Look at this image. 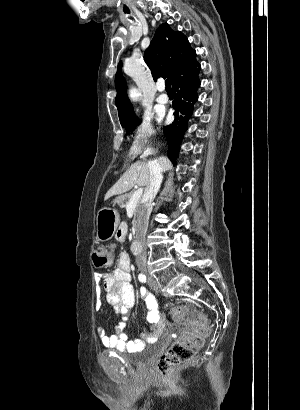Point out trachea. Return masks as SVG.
Segmentation results:
<instances>
[{"label":"trachea","mask_w":300,"mask_h":410,"mask_svg":"<svg viewBox=\"0 0 300 410\" xmlns=\"http://www.w3.org/2000/svg\"><path fill=\"white\" fill-rule=\"evenodd\" d=\"M165 89L166 91H172L170 81L168 79L165 81Z\"/></svg>","instance_id":"3493384b"}]
</instances>
